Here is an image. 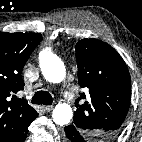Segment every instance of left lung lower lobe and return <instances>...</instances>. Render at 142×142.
I'll return each mask as SVG.
<instances>
[{"label":"left lung lower lobe","instance_id":"left-lung-lower-lobe-1","mask_svg":"<svg viewBox=\"0 0 142 142\" xmlns=\"http://www.w3.org/2000/svg\"><path fill=\"white\" fill-rule=\"evenodd\" d=\"M64 130L66 142H90L87 137L72 124L66 126Z\"/></svg>","mask_w":142,"mask_h":142}]
</instances>
